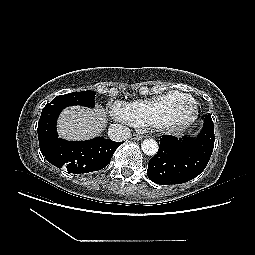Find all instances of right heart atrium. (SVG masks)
Here are the masks:
<instances>
[{"label":"right heart atrium","instance_id":"d8ad5b80","mask_svg":"<svg viewBox=\"0 0 255 255\" xmlns=\"http://www.w3.org/2000/svg\"><path fill=\"white\" fill-rule=\"evenodd\" d=\"M111 113L119 119H122L123 112H124V105L122 103H112L110 105Z\"/></svg>","mask_w":255,"mask_h":255}]
</instances>
